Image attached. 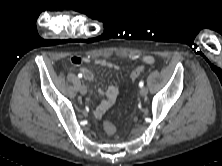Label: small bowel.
I'll list each match as a JSON object with an SVG mask.
<instances>
[{"label": "small bowel", "instance_id": "obj_1", "mask_svg": "<svg viewBox=\"0 0 222 166\" xmlns=\"http://www.w3.org/2000/svg\"><path fill=\"white\" fill-rule=\"evenodd\" d=\"M143 62L147 64H152L154 62L153 56H144ZM91 60L87 57H81V56H73L70 59L71 64L74 66H81L84 63H89ZM95 64L108 67L109 69L118 70L119 66L115 63L108 62L104 59H96ZM84 78L89 81L93 82L95 77L91 70L85 67L80 68ZM100 93L105 95V99L101 101L99 104L96 105L94 109V114L97 118H100L103 116V114L115 103L116 97L119 93V86L118 85H110L105 91L100 90Z\"/></svg>", "mask_w": 222, "mask_h": 166}]
</instances>
